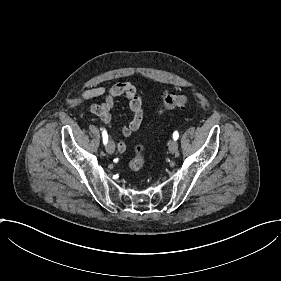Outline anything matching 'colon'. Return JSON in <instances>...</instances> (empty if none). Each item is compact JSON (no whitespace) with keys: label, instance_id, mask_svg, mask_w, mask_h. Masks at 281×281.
Segmentation results:
<instances>
[{"label":"colon","instance_id":"colon-1","mask_svg":"<svg viewBox=\"0 0 281 281\" xmlns=\"http://www.w3.org/2000/svg\"><path fill=\"white\" fill-rule=\"evenodd\" d=\"M163 105L167 109L174 108H187L191 100L188 95L181 93H167L162 99ZM145 155L137 150L134 153L132 161V170L134 172H140L144 168Z\"/></svg>","mask_w":281,"mask_h":281}]
</instances>
